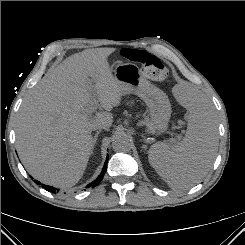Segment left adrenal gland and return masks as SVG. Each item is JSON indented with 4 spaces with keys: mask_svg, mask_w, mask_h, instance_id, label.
I'll return each instance as SVG.
<instances>
[{
    "mask_svg": "<svg viewBox=\"0 0 245 245\" xmlns=\"http://www.w3.org/2000/svg\"><path fill=\"white\" fill-rule=\"evenodd\" d=\"M143 141H144L145 143H147V141H146L145 138H143ZM142 148L146 149V145H143Z\"/></svg>",
    "mask_w": 245,
    "mask_h": 245,
    "instance_id": "a2214340",
    "label": "left adrenal gland"
}]
</instances>
